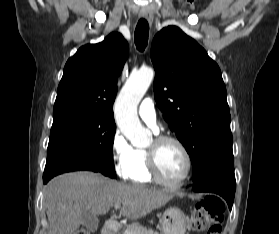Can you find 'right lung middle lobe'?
<instances>
[{
	"label": "right lung middle lobe",
	"instance_id": "right-lung-middle-lobe-1",
	"mask_svg": "<svg viewBox=\"0 0 279 234\" xmlns=\"http://www.w3.org/2000/svg\"><path fill=\"white\" fill-rule=\"evenodd\" d=\"M113 118L83 111L53 113L45 170L66 159H82L98 172L116 178L113 165Z\"/></svg>",
	"mask_w": 279,
	"mask_h": 234
}]
</instances>
